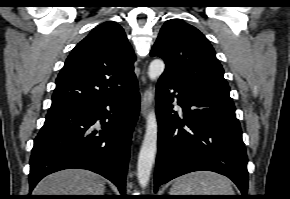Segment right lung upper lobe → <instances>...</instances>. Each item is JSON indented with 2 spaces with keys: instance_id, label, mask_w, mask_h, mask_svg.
<instances>
[{
  "instance_id": "cb5924a9",
  "label": "right lung upper lobe",
  "mask_w": 290,
  "mask_h": 199,
  "mask_svg": "<svg viewBox=\"0 0 290 199\" xmlns=\"http://www.w3.org/2000/svg\"><path fill=\"white\" fill-rule=\"evenodd\" d=\"M135 54L122 27L108 21L93 29L68 56L56 79L48 114L89 105L136 81Z\"/></svg>"
}]
</instances>
